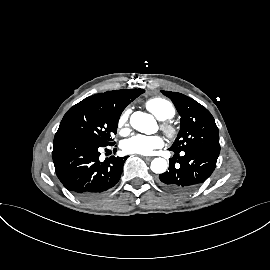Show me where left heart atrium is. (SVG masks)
Listing matches in <instances>:
<instances>
[{"instance_id":"39dd6f15","label":"left heart atrium","mask_w":270,"mask_h":270,"mask_svg":"<svg viewBox=\"0 0 270 270\" xmlns=\"http://www.w3.org/2000/svg\"><path fill=\"white\" fill-rule=\"evenodd\" d=\"M164 140L159 135H135L126 139L123 144V150L128 154L151 155L156 149L161 148Z\"/></svg>"}]
</instances>
